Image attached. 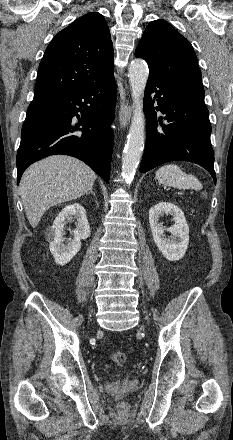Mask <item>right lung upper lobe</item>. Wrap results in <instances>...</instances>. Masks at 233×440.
I'll list each match as a JSON object with an SVG mask.
<instances>
[{
  "label": "right lung upper lobe",
  "mask_w": 233,
  "mask_h": 440,
  "mask_svg": "<svg viewBox=\"0 0 233 440\" xmlns=\"http://www.w3.org/2000/svg\"><path fill=\"white\" fill-rule=\"evenodd\" d=\"M113 45L105 19L91 12L60 31L38 68L34 96L83 88L113 74Z\"/></svg>",
  "instance_id": "1"
}]
</instances>
